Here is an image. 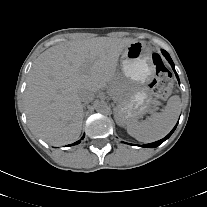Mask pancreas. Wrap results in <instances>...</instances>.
I'll return each mask as SVG.
<instances>
[{"instance_id": "obj_1", "label": "pancreas", "mask_w": 207, "mask_h": 207, "mask_svg": "<svg viewBox=\"0 0 207 207\" xmlns=\"http://www.w3.org/2000/svg\"><path fill=\"white\" fill-rule=\"evenodd\" d=\"M115 95H116V96H119V95H120V93H119V92H115Z\"/></svg>"}]
</instances>
